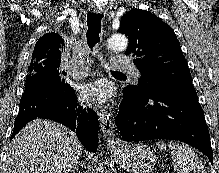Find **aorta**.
<instances>
[{"label":"aorta","mask_w":219,"mask_h":173,"mask_svg":"<svg viewBox=\"0 0 219 173\" xmlns=\"http://www.w3.org/2000/svg\"><path fill=\"white\" fill-rule=\"evenodd\" d=\"M106 46L113 51H124L128 46V39L123 34H114L107 40Z\"/></svg>","instance_id":"aorta-1"}]
</instances>
